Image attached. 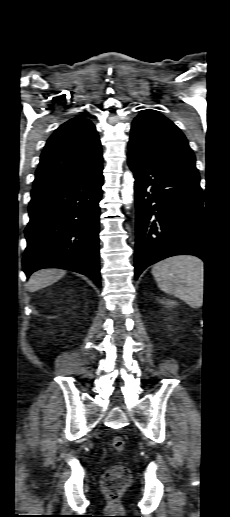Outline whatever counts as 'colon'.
Segmentation results:
<instances>
[{"label":"colon","mask_w":230,"mask_h":517,"mask_svg":"<svg viewBox=\"0 0 230 517\" xmlns=\"http://www.w3.org/2000/svg\"><path fill=\"white\" fill-rule=\"evenodd\" d=\"M125 442L122 437H114L111 440V448L115 451H122ZM130 482L129 471L121 465L114 466L106 471L102 479V488L105 494L116 499Z\"/></svg>","instance_id":"1"}]
</instances>
